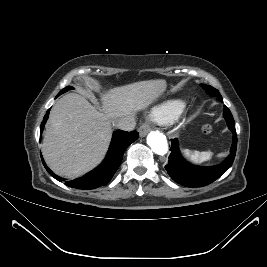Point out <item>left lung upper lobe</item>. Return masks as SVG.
Listing matches in <instances>:
<instances>
[{
	"label": "left lung upper lobe",
	"mask_w": 267,
	"mask_h": 267,
	"mask_svg": "<svg viewBox=\"0 0 267 267\" xmlns=\"http://www.w3.org/2000/svg\"><path fill=\"white\" fill-rule=\"evenodd\" d=\"M210 95V94H209ZM210 96H215L217 97L218 100L222 101V97L219 93L218 90H216L215 88L212 87V94Z\"/></svg>",
	"instance_id": "left-lung-upper-lobe-1"
}]
</instances>
